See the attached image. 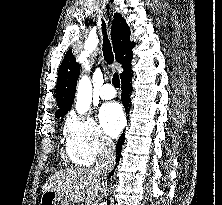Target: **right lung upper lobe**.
Wrapping results in <instances>:
<instances>
[{
    "mask_svg": "<svg viewBox=\"0 0 222 205\" xmlns=\"http://www.w3.org/2000/svg\"><path fill=\"white\" fill-rule=\"evenodd\" d=\"M111 39L115 52L116 61L123 67L120 74L121 79L132 72L131 60L133 58L132 49L134 42L130 41V29L125 19L119 14L114 15L111 27ZM79 77V65L72 54V50L67 51L63 62L58 70L56 85V100L58 110L55 115L57 118L64 116L71 108L75 97V88Z\"/></svg>",
    "mask_w": 222,
    "mask_h": 205,
    "instance_id": "right-lung-upper-lobe-1",
    "label": "right lung upper lobe"
}]
</instances>
